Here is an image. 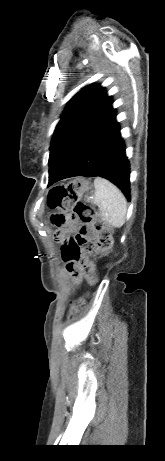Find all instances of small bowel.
I'll return each instance as SVG.
<instances>
[{"label":"small bowel","instance_id":"small-bowel-1","mask_svg":"<svg viewBox=\"0 0 165 461\" xmlns=\"http://www.w3.org/2000/svg\"><path fill=\"white\" fill-rule=\"evenodd\" d=\"M94 225H76L73 221L69 229H57L52 233V241L58 242L61 265L64 266L62 276L65 281L79 282L82 279L81 266H86L85 248L95 236Z\"/></svg>","mask_w":165,"mask_h":461}]
</instances>
